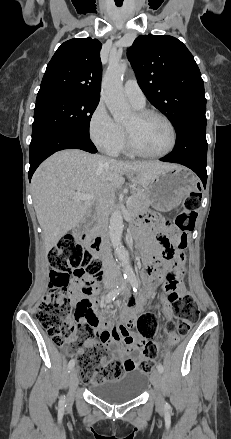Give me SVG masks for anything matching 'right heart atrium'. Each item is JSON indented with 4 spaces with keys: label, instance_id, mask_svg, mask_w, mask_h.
<instances>
[{
    "label": "right heart atrium",
    "instance_id": "right-heart-atrium-1",
    "mask_svg": "<svg viewBox=\"0 0 231 439\" xmlns=\"http://www.w3.org/2000/svg\"><path fill=\"white\" fill-rule=\"evenodd\" d=\"M88 133L93 144L108 153L117 151L124 139L122 128L111 117L103 102H99L91 113Z\"/></svg>",
    "mask_w": 231,
    "mask_h": 439
}]
</instances>
